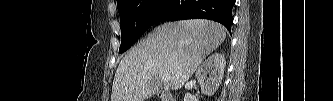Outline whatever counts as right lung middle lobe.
<instances>
[{"label":"right lung middle lobe","instance_id":"obj_1","mask_svg":"<svg viewBox=\"0 0 333 101\" xmlns=\"http://www.w3.org/2000/svg\"><path fill=\"white\" fill-rule=\"evenodd\" d=\"M169 0H119L121 45L119 53L129 49L153 24L158 23Z\"/></svg>","mask_w":333,"mask_h":101}]
</instances>
